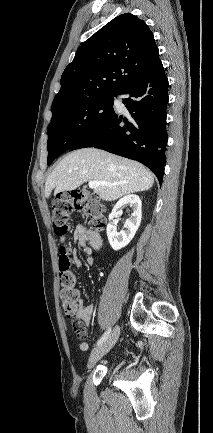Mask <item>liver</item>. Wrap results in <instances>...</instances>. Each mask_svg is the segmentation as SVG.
Instances as JSON below:
<instances>
[{
    "label": "liver",
    "instance_id": "1",
    "mask_svg": "<svg viewBox=\"0 0 213 433\" xmlns=\"http://www.w3.org/2000/svg\"><path fill=\"white\" fill-rule=\"evenodd\" d=\"M108 183L94 189L100 199L118 198L150 189L154 184L151 171L141 163L96 148H83L69 153L48 176L45 196L74 190L85 182Z\"/></svg>",
    "mask_w": 213,
    "mask_h": 433
}]
</instances>
